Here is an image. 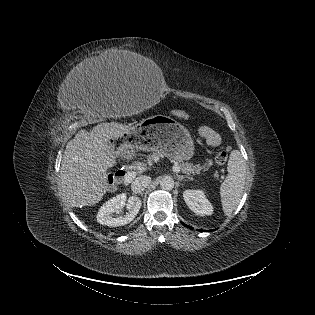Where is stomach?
<instances>
[{"mask_svg": "<svg viewBox=\"0 0 315 315\" xmlns=\"http://www.w3.org/2000/svg\"><path fill=\"white\" fill-rule=\"evenodd\" d=\"M107 153L126 154L129 150L154 151L172 160H189L194 155V142L189 131L165 115L143 119L103 141Z\"/></svg>", "mask_w": 315, "mask_h": 315, "instance_id": "obj_1", "label": "stomach"}]
</instances>
